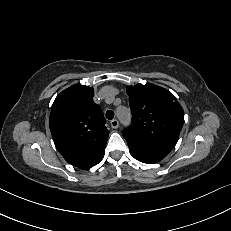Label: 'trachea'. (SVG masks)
I'll return each instance as SVG.
<instances>
[{
    "mask_svg": "<svg viewBox=\"0 0 231 231\" xmlns=\"http://www.w3.org/2000/svg\"><path fill=\"white\" fill-rule=\"evenodd\" d=\"M106 118L109 119V120H112L114 118V112L111 111V110H108L106 112Z\"/></svg>",
    "mask_w": 231,
    "mask_h": 231,
    "instance_id": "trachea-1",
    "label": "trachea"
}]
</instances>
